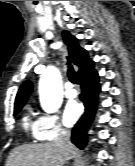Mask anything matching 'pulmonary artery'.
<instances>
[{"mask_svg": "<svg viewBox=\"0 0 135 166\" xmlns=\"http://www.w3.org/2000/svg\"><path fill=\"white\" fill-rule=\"evenodd\" d=\"M76 95H77V92H76V90L73 88V86L70 85V84H67V85H66V89H65V96H66L67 98H69V99H73V98L76 97Z\"/></svg>", "mask_w": 135, "mask_h": 166, "instance_id": "pulmonary-artery-1", "label": "pulmonary artery"}]
</instances>
